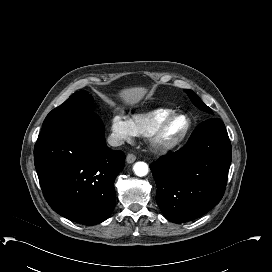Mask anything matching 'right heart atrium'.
Segmentation results:
<instances>
[{"label": "right heart atrium", "instance_id": "obj_1", "mask_svg": "<svg viewBox=\"0 0 272 272\" xmlns=\"http://www.w3.org/2000/svg\"><path fill=\"white\" fill-rule=\"evenodd\" d=\"M112 137L117 142H124L136 135V128L132 119L126 117L122 112L114 114L110 124Z\"/></svg>", "mask_w": 272, "mask_h": 272}]
</instances>
